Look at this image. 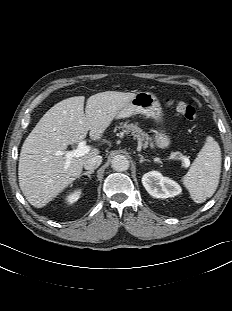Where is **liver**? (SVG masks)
<instances>
[{
    "label": "liver",
    "mask_w": 232,
    "mask_h": 311,
    "mask_svg": "<svg viewBox=\"0 0 232 311\" xmlns=\"http://www.w3.org/2000/svg\"><path fill=\"white\" fill-rule=\"evenodd\" d=\"M135 93L106 91L90 96L84 113V96L64 99L51 107L25 139L19 157V186L27 201L44 207L81 175L84 162L99 150L73 158L67 169L66 157L60 155L68 145L81 142L88 131L100 140L118 112Z\"/></svg>",
    "instance_id": "liver-1"
}]
</instances>
